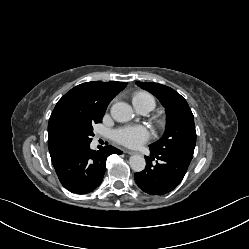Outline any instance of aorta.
Wrapping results in <instances>:
<instances>
[{
	"mask_svg": "<svg viewBox=\"0 0 249 249\" xmlns=\"http://www.w3.org/2000/svg\"><path fill=\"white\" fill-rule=\"evenodd\" d=\"M132 107L125 102H117L111 107V116L117 122H127L133 117ZM130 167L135 172H141L145 169L146 161L141 155H133L129 159Z\"/></svg>",
	"mask_w": 249,
	"mask_h": 249,
	"instance_id": "obj_1",
	"label": "aorta"
}]
</instances>
